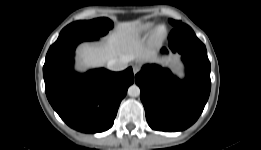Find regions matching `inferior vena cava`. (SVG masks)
<instances>
[{
    "instance_id": "1",
    "label": "inferior vena cava",
    "mask_w": 261,
    "mask_h": 150,
    "mask_svg": "<svg viewBox=\"0 0 261 150\" xmlns=\"http://www.w3.org/2000/svg\"><path fill=\"white\" fill-rule=\"evenodd\" d=\"M129 61L130 60L127 56H122L120 58L109 60L107 62V67L113 71H122L127 68Z\"/></svg>"
}]
</instances>
